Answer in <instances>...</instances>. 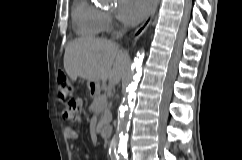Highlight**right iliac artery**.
<instances>
[{"label":"right iliac artery","instance_id":"82829eb1","mask_svg":"<svg viewBox=\"0 0 242 160\" xmlns=\"http://www.w3.org/2000/svg\"><path fill=\"white\" fill-rule=\"evenodd\" d=\"M111 160H116V158H112Z\"/></svg>","mask_w":242,"mask_h":160}]
</instances>
